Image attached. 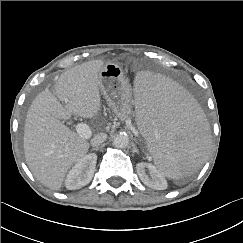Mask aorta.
Instances as JSON below:
<instances>
[{
	"label": "aorta",
	"mask_w": 243,
	"mask_h": 243,
	"mask_svg": "<svg viewBox=\"0 0 243 243\" xmlns=\"http://www.w3.org/2000/svg\"><path fill=\"white\" fill-rule=\"evenodd\" d=\"M129 144V137L127 134H118L113 139V145L116 148H126Z\"/></svg>",
	"instance_id": "aorta-1"
}]
</instances>
